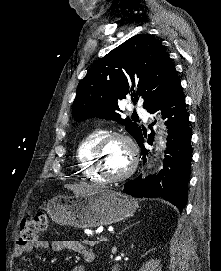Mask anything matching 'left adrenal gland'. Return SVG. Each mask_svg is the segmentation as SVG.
<instances>
[{"label":"left adrenal gland","instance_id":"1","mask_svg":"<svg viewBox=\"0 0 221 271\" xmlns=\"http://www.w3.org/2000/svg\"><path fill=\"white\" fill-rule=\"evenodd\" d=\"M136 223H139V221H136ZM132 225H135V223H132ZM125 229H128V227H125ZM125 229H123V231H125Z\"/></svg>","mask_w":221,"mask_h":271}]
</instances>
